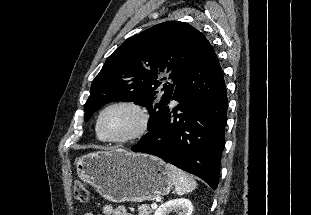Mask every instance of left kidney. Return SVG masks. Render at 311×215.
I'll return each instance as SVG.
<instances>
[{"label":"left kidney","mask_w":311,"mask_h":215,"mask_svg":"<svg viewBox=\"0 0 311 215\" xmlns=\"http://www.w3.org/2000/svg\"><path fill=\"white\" fill-rule=\"evenodd\" d=\"M193 205L190 200L185 198L170 200L162 204L154 213V215H168L171 212H176L178 215H191Z\"/></svg>","instance_id":"left-kidney-1"}]
</instances>
